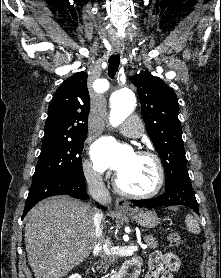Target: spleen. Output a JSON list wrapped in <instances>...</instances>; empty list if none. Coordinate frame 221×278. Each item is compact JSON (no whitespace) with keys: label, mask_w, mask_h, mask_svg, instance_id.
Wrapping results in <instances>:
<instances>
[{"label":"spleen","mask_w":221,"mask_h":278,"mask_svg":"<svg viewBox=\"0 0 221 278\" xmlns=\"http://www.w3.org/2000/svg\"><path fill=\"white\" fill-rule=\"evenodd\" d=\"M185 223L188 230L194 234L200 233V227L197 220L192 215H187L185 218Z\"/></svg>","instance_id":"obj_1"}]
</instances>
